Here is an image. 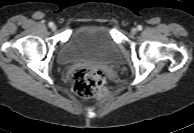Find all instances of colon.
I'll use <instances>...</instances> for the list:
<instances>
[{
  "mask_svg": "<svg viewBox=\"0 0 194 133\" xmlns=\"http://www.w3.org/2000/svg\"><path fill=\"white\" fill-rule=\"evenodd\" d=\"M73 91L85 98L105 97L108 89L105 86V75L101 70L85 67L77 68L72 76Z\"/></svg>",
  "mask_w": 194,
  "mask_h": 133,
  "instance_id": "obj_1",
  "label": "colon"
}]
</instances>
